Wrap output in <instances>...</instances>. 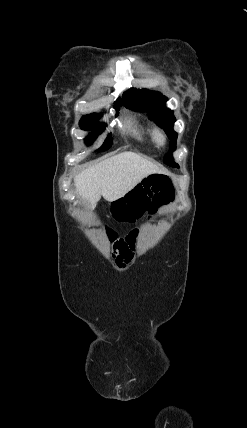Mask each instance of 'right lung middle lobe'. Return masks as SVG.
<instances>
[{
    "mask_svg": "<svg viewBox=\"0 0 247 428\" xmlns=\"http://www.w3.org/2000/svg\"><path fill=\"white\" fill-rule=\"evenodd\" d=\"M122 104H117L116 106H114V108L118 111L119 107ZM99 119V115L98 114H90V115H86L83 116L79 126L82 130H93V134L89 135L85 140L87 144H91L97 137V135H99L105 128L106 124L102 123L99 126H96L97 121ZM112 145V138L111 135L109 134L107 139L104 141L103 145L101 146L100 149H98L97 151H102V150H107L111 147Z\"/></svg>",
    "mask_w": 247,
    "mask_h": 428,
    "instance_id": "right-lung-middle-lobe-1",
    "label": "right lung middle lobe"
}]
</instances>
